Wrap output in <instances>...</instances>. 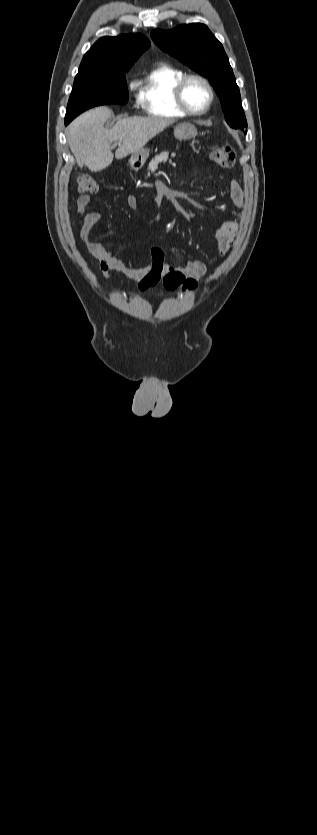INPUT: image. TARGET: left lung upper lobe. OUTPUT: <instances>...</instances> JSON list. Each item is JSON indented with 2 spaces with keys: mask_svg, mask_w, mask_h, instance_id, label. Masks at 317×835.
Segmentation results:
<instances>
[{
  "mask_svg": "<svg viewBox=\"0 0 317 835\" xmlns=\"http://www.w3.org/2000/svg\"><path fill=\"white\" fill-rule=\"evenodd\" d=\"M153 41L165 52L209 79L232 128H247L239 88L222 44L201 23L180 25L172 30L156 29Z\"/></svg>",
  "mask_w": 317,
  "mask_h": 835,
  "instance_id": "obj_1",
  "label": "left lung upper lobe"
}]
</instances>
